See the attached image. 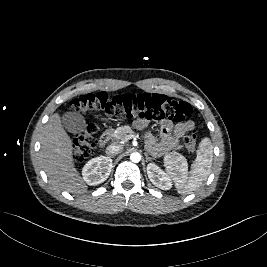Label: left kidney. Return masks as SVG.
Segmentation results:
<instances>
[{"instance_id":"5707ae66","label":"left kidney","mask_w":267,"mask_h":267,"mask_svg":"<svg viewBox=\"0 0 267 267\" xmlns=\"http://www.w3.org/2000/svg\"><path fill=\"white\" fill-rule=\"evenodd\" d=\"M147 175L152 184L162 190H168L172 187L170 175L168 173H165L155 163H149L147 165Z\"/></svg>"}]
</instances>
